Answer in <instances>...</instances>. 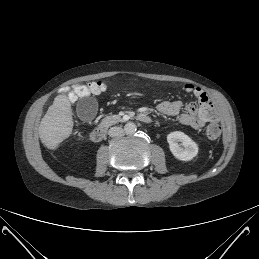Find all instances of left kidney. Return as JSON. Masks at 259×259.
<instances>
[{"mask_svg":"<svg viewBox=\"0 0 259 259\" xmlns=\"http://www.w3.org/2000/svg\"><path fill=\"white\" fill-rule=\"evenodd\" d=\"M169 149L173 156L181 161L192 160L198 154V145L188 135L174 131L167 135ZM181 142L182 147L178 144Z\"/></svg>","mask_w":259,"mask_h":259,"instance_id":"5707ae66","label":"left kidney"}]
</instances>
